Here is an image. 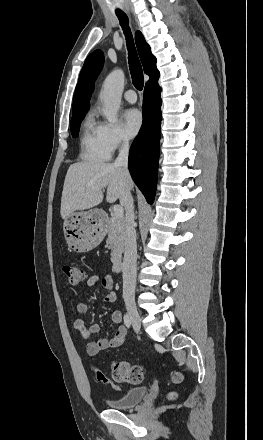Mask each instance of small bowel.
<instances>
[{
	"mask_svg": "<svg viewBox=\"0 0 263 440\" xmlns=\"http://www.w3.org/2000/svg\"><path fill=\"white\" fill-rule=\"evenodd\" d=\"M97 284H100L106 290V293L102 297V301L105 303H113L117 297L116 292L114 291L113 275L111 273H107L103 275L95 274L89 276L86 281V291L84 295H87L88 292ZM75 309L78 315H84L88 312L89 305L86 301L80 300L76 303ZM122 319L123 317L121 311H113L111 313V321L114 324L119 325L117 331L111 339H106L102 336H98L95 340H93V337L100 334V326L94 324L90 327H87L85 321L82 318H78L75 320L74 327L78 331L81 339L87 342L86 352L89 356H95L102 350L116 348L124 343L127 335V330L124 326L121 325Z\"/></svg>",
	"mask_w": 263,
	"mask_h": 440,
	"instance_id": "c3829d8e",
	"label": "small bowel"
}]
</instances>
